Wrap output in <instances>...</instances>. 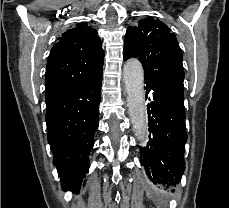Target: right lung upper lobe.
<instances>
[{"instance_id": "obj_1", "label": "right lung upper lobe", "mask_w": 229, "mask_h": 208, "mask_svg": "<svg viewBox=\"0 0 229 208\" xmlns=\"http://www.w3.org/2000/svg\"><path fill=\"white\" fill-rule=\"evenodd\" d=\"M48 57L45 76L46 101L96 75L104 51L97 31L78 23L58 38Z\"/></svg>"}]
</instances>
